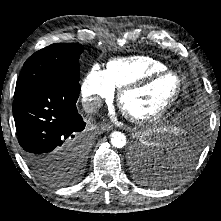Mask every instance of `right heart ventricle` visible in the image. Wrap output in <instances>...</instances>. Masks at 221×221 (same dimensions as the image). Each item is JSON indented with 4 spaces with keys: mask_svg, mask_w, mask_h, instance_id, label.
Here are the masks:
<instances>
[{
    "mask_svg": "<svg viewBox=\"0 0 221 221\" xmlns=\"http://www.w3.org/2000/svg\"><path fill=\"white\" fill-rule=\"evenodd\" d=\"M167 66L161 61L149 56H130L110 60L105 74L116 88L133 82L146 74L166 70Z\"/></svg>",
    "mask_w": 221,
    "mask_h": 221,
    "instance_id": "obj_1",
    "label": "right heart ventricle"
}]
</instances>
